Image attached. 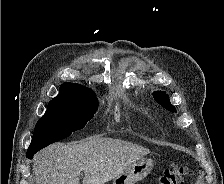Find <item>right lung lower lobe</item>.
<instances>
[{
	"label": "right lung lower lobe",
	"instance_id": "right-lung-lower-lobe-1",
	"mask_svg": "<svg viewBox=\"0 0 224 184\" xmlns=\"http://www.w3.org/2000/svg\"><path fill=\"white\" fill-rule=\"evenodd\" d=\"M35 153H36V152H33V151H27L26 157L29 158V159H32V158H33V155H34Z\"/></svg>",
	"mask_w": 224,
	"mask_h": 184
}]
</instances>
